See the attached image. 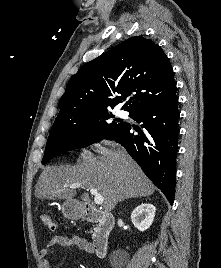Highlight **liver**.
<instances>
[{
    "mask_svg": "<svg viewBox=\"0 0 221 268\" xmlns=\"http://www.w3.org/2000/svg\"><path fill=\"white\" fill-rule=\"evenodd\" d=\"M100 156L81 153L77 164L71 167H46L36 184L39 199L74 200L75 188L65 187L80 183L88 189H97L104 198L103 208L110 212L118 202L128 198L152 195L155 186L137 163L117 144L100 147Z\"/></svg>",
    "mask_w": 221,
    "mask_h": 268,
    "instance_id": "6515ba94",
    "label": "liver"
}]
</instances>
